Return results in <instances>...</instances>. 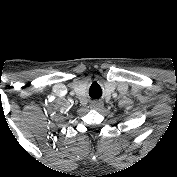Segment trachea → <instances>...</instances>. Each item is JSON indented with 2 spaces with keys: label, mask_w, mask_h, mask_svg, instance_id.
Listing matches in <instances>:
<instances>
[{
  "label": "trachea",
  "mask_w": 177,
  "mask_h": 177,
  "mask_svg": "<svg viewBox=\"0 0 177 177\" xmlns=\"http://www.w3.org/2000/svg\"><path fill=\"white\" fill-rule=\"evenodd\" d=\"M89 95L93 99H98L102 95V91L99 85L96 83L92 84L90 89H89Z\"/></svg>",
  "instance_id": "3493384b"
}]
</instances>
